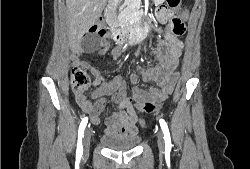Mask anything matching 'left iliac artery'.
Returning a JSON list of instances; mask_svg holds the SVG:
<instances>
[{
	"instance_id": "left-iliac-artery-1",
	"label": "left iliac artery",
	"mask_w": 250,
	"mask_h": 169,
	"mask_svg": "<svg viewBox=\"0 0 250 169\" xmlns=\"http://www.w3.org/2000/svg\"><path fill=\"white\" fill-rule=\"evenodd\" d=\"M159 123L164 133L165 150L170 152L172 148V144H171V138H170V133H169L167 123L163 119H160Z\"/></svg>"
}]
</instances>
